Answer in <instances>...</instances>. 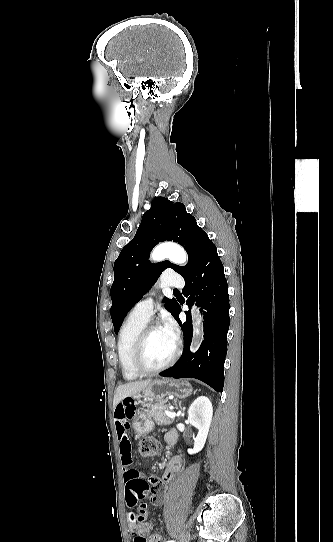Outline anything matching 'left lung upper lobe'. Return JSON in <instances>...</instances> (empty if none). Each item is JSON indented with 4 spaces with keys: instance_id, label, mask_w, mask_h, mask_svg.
Here are the masks:
<instances>
[{
    "instance_id": "5c2ea615",
    "label": "left lung upper lobe",
    "mask_w": 333,
    "mask_h": 542,
    "mask_svg": "<svg viewBox=\"0 0 333 542\" xmlns=\"http://www.w3.org/2000/svg\"><path fill=\"white\" fill-rule=\"evenodd\" d=\"M166 240L178 242L188 253L186 266L169 261L152 264L148 260L151 250ZM208 235L197 225L196 219L186 212L184 204L173 203L165 197H156L150 210L142 217L135 237L122 249L114 263V282L111 286V318L117 334L127 312L143 297L166 268H172L182 277L197 265ZM165 308L176 315L178 302L166 299Z\"/></svg>"
}]
</instances>
